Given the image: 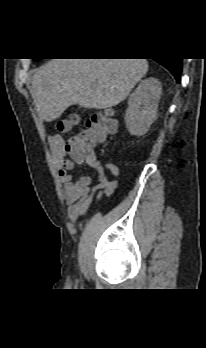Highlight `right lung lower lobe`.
Masks as SVG:
<instances>
[{"instance_id": "1", "label": "right lung lower lobe", "mask_w": 206, "mask_h": 348, "mask_svg": "<svg viewBox=\"0 0 206 348\" xmlns=\"http://www.w3.org/2000/svg\"><path fill=\"white\" fill-rule=\"evenodd\" d=\"M156 61L165 68H167L173 74L177 82L180 81L182 71V59L164 58Z\"/></svg>"}]
</instances>
